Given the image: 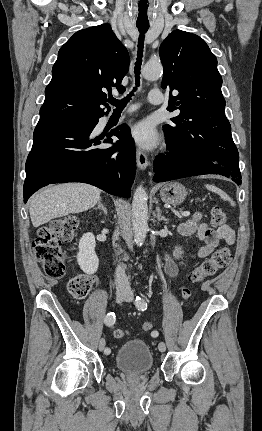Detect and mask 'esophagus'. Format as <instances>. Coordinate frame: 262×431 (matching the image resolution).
Instances as JSON below:
<instances>
[{
    "instance_id": "1",
    "label": "esophagus",
    "mask_w": 262,
    "mask_h": 431,
    "mask_svg": "<svg viewBox=\"0 0 262 431\" xmlns=\"http://www.w3.org/2000/svg\"><path fill=\"white\" fill-rule=\"evenodd\" d=\"M137 166L140 170H145L148 166V157L140 148L136 149Z\"/></svg>"
}]
</instances>
